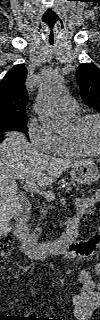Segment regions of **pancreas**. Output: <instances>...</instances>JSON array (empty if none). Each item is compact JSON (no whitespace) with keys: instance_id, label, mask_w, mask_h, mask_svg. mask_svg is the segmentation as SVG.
<instances>
[{"instance_id":"cf45deb5","label":"pancreas","mask_w":100,"mask_h":320,"mask_svg":"<svg viewBox=\"0 0 100 320\" xmlns=\"http://www.w3.org/2000/svg\"><path fill=\"white\" fill-rule=\"evenodd\" d=\"M40 212L42 213L40 219H44L45 214L48 212V209H47V208H41V211H40ZM34 233H35V235H36L37 237H39V235L41 234V229H40V227H39V224L36 226V228H35V230H34Z\"/></svg>"}]
</instances>
